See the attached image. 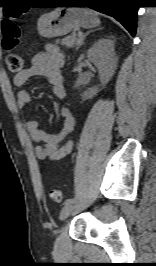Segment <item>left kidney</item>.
<instances>
[{
    "label": "left kidney",
    "mask_w": 156,
    "mask_h": 266,
    "mask_svg": "<svg viewBox=\"0 0 156 266\" xmlns=\"http://www.w3.org/2000/svg\"><path fill=\"white\" fill-rule=\"evenodd\" d=\"M115 41L102 38L96 41L87 52L88 59L97 67L102 85L108 83L117 67L114 49ZM99 92V87H92L82 94L83 100L91 99Z\"/></svg>",
    "instance_id": "obj_1"
}]
</instances>
